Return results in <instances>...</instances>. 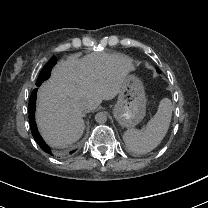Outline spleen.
I'll use <instances>...</instances> for the list:
<instances>
[{"instance_id":"3e777b00","label":"spleen","mask_w":208,"mask_h":208,"mask_svg":"<svg viewBox=\"0 0 208 208\" xmlns=\"http://www.w3.org/2000/svg\"><path fill=\"white\" fill-rule=\"evenodd\" d=\"M173 106L168 98H163L156 114L149 120L145 130L128 129L123 140L127 148L136 154H146L155 149L165 137L172 118Z\"/></svg>"}]
</instances>
